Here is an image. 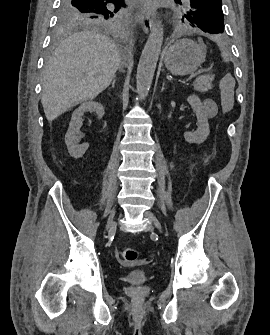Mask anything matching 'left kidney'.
<instances>
[{
	"label": "left kidney",
	"instance_id": "5707ae66",
	"mask_svg": "<svg viewBox=\"0 0 270 335\" xmlns=\"http://www.w3.org/2000/svg\"><path fill=\"white\" fill-rule=\"evenodd\" d=\"M193 112H195L198 120V128L196 132H185L184 138L189 144H203L210 134L208 118L203 112V104L198 96H189L187 98Z\"/></svg>",
	"mask_w": 270,
	"mask_h": 335
}]
</instances>
